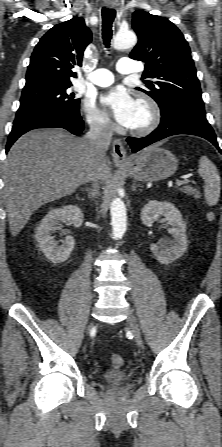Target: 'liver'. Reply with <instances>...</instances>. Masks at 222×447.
Here are the masks:
<instances>
[{"label":"liver","mask_w":222,"mask_h":447,"mask_svg":"<svg viewBox=\"0 0 222 447\" xmlns=\"http://www.w3.org/2000/svg\"><path fill=\"white\" fill-rule=\"evenodd\" d=\"M92 156L88 142L59 128L34 130L20 137L4 163V200L10 232L16 236L42 205L71 195L83 183ZM106 180L109 161L98 167Z\"/></svg>","instance_id":"6515ba94"}]
</instances>
